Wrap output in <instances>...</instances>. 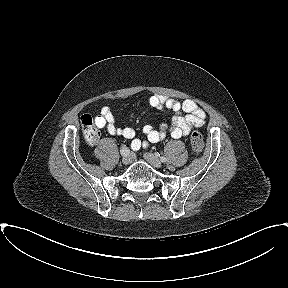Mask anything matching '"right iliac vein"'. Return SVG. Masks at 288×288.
Masks as SVG:
<instances>
[{
  "label": "right iliac vein",
  "mask_w": 288,
  "mask_h": 288,
  "mask_svg": "<svg viewBox=\"0 0 288 288\" xmlns=\"http://www.w3.org/2000/svg\"><path fill=\"white\" fill-rule=\"evenodd\" d=\"M133 160V155L129 153V157L128 158H123L122 157V163L127 165L130 164Z\"/></svg>",
  "instance_id": "right-iliac-vein-1"
}]
</instances>
